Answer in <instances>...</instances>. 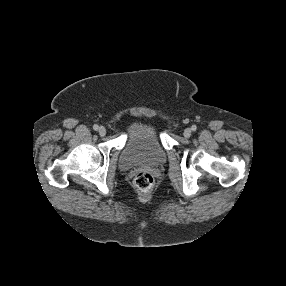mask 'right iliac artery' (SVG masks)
<instances>
[{
    "instance_id": "right-iliac-artery-1",
    "label": "right iliac artery",
    "mask_w": 286,
    "mask_h": 286,
    "mask_svg": "<svg viewBox=\"0 0 286 286\" xmlns=\"http://www.w3.org/2000/svg\"><path fill=\"white\" fill-rule=\"evenodd\" d=\"M93 129L97 131V130L99 129V126L95 124V125L93 126Z\"/></svg>"
}]
</instances>
